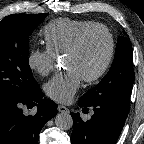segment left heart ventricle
Masks as SVG:
<instances>
[{
	"instance_id": "obj_1",
	"label": "left heart ventricle",
	"mask_w": 144,
	"mask_h": 144,
	"mask_svg": "<svg viewBox=\"0 0 144 144\" xmlns=\"http://www.w3.org/2000/svg\"><path fill=\"white\" fill-rule=\"evenodd\" d=\"M108 53V38L102 31L89 33L80 48L64 57L67 68L76 69L82 78L95 74L104 63Z\"/></svg>"
}]
</instances>
